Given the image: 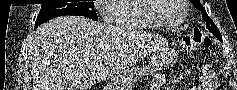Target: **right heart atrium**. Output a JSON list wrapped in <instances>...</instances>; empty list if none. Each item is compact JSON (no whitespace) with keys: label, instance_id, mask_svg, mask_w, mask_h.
<instances>
[{"label":"right heart atrium","instance_id":"d8ad5b80","mask_svg":"<svg viewBox=\"0 0 237 90\" xmlns=\"http://www.w3.org/2000/svg\"><path fill=\"white\" fill-rule=\"evenodd\" d=\"M114 2H115V0H100L99 5H100V6H105L106 3H114ZM100 16H101L102 18H105V17H106L105 13L102 12V11H100Z\"/></svg>","mask_w":237,"mask_h":90}]
</instances>
